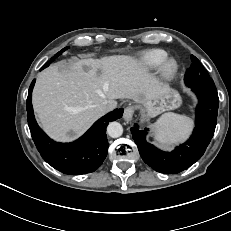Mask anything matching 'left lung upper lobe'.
<instances>
[{"mask_svg":"<svg viewBox=\"0 0 231 231\" xmlns=\"http://www.w3.org/2000/svg\"><path fill=\"white\" fill-rule=\"evenodd\" d=\"M192 64L185 74V84L188 87H201L211 91H217L215 84L205 68L195 56H191Z\"/></svg>","mask_w":231,"mask_h":231,"instance_id":"left-lung-upper-lobe-1","label":"left lung upper lobe"}]
</instances>
